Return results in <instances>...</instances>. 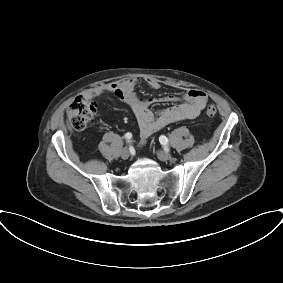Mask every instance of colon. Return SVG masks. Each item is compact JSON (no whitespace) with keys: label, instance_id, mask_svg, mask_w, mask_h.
Wrapping results in <instances>:
<instances>
[{"label":"colon","instance_id":"1","mask_svg":"<svg viewBox=\"0 0 283 283\" xmlns=\"http://www.w3.org/2000/svg\"><path fill=\"white\" fill-rule=\"evenodd\" d=\"M97 103L93 98L81 96L70 105L67 115L71 126L76 130H83L95 116ZM206 115L213 117L217 113L216 106L209 103L205 108Z\"/></svg>","mask_w":283,"mask_h":283}]
</instances>
